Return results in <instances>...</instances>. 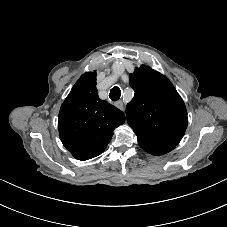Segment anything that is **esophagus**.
I'll return each mask as SVG.
<instances>
[{
  "instance_id": "34e87169",
  "label": "esophagus",
  "mask_w": 227,
  "mask_h": 227,
  "mask_svg": "<svg viewBox=\"0 0 227 227\" xmlns=\"http://www.w3.org/2000/svg\"><path fill=\"white\" fill-rule=\"evenodd\" d=\"M115 106H116L118 109L122 110V109H123V103H122V101H117V102H115Z\"/></svg>"
}]
</instances>
